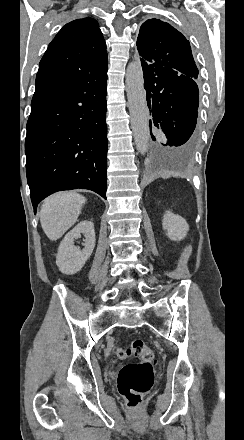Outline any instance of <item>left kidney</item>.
I'll return each mask as SVG.
<instances>
[{
	"label": "left kidney",
	"mask_w": 244,
	"mask_h": 440,
	"mask_svg": "<svg viewBox=\"0 0 244 440\" xmlns=\"http://www.w3.org/2000/svg\"><path fill=\"white\" fill-rule=\"evenodd\" d=\"M163 230H166L168 238L174 240V242H180L187 236L189 226L181 216L172 214V212H166L163 216Z\"/></svg>",
	"instance_id": "left-kidney-1"
}]
</instances>
